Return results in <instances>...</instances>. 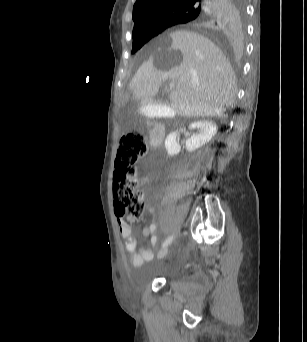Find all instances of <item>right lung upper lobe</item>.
Instances as JSON below:
<instances>
[{
	"label": "right lung upper lobe",
	"instance_id": "1",
	"mask_svg": "<svg viewBox=\"0 0 307 342\" xmlns=\"http://www.w3.org/2000/svg\"><path fill=\"white\" fill-rule=\"evenodd\" d=\"M235 0H136L133 7V35L190 24L218 40L229 36ZM191 13L184 19L178 16Z\"/></svg>",
	"mask_w": 307,
	"mask_h": 342
}]
</instances>
